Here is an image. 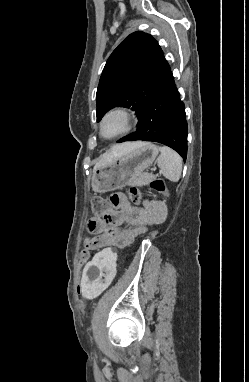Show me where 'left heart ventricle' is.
<instances>
[{
    "label": "left heart ventricle",
    "instance_id": "b2bd125f",
    "mask_svg": "<svg viewBox=\"0 0 249 382\" xmlns=\"http://www.w3.org/2000/svg\"><path fill=\"white\" fill-rule=\"evenodd\" d=\"M118 126L115 122H110L107 127H106V133L107 134H110V133H113L117 130Z\"/></svg>",
    "mask_w": 249,
    "mask_h": 382
}]
</instances>
